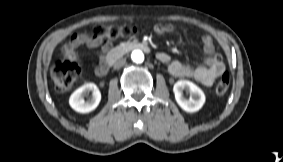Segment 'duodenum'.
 I'll use <instances>...</instances> for the list:
<instances>
[{
  "label": "duodenum",
  "mask_w": 283,
  "mask_h": 162,
  "mask_svg": "<svg viewBox=\"0 0 283 162\" xmlns=\"http://www.w3.org/2000/svg\"><path fill=\"white\" fill-rule=\"evenodd\" d=\"M143 50L145 52L149 51V46L140 41H127L122 44H119L113 48H111V55L107 58L109 67L112 66L113 62L116 61L118 58L122 57L124 54L132 51V50Z\"/></svg>",
  "instance_id": "410a0bca"
}]
</instances>
